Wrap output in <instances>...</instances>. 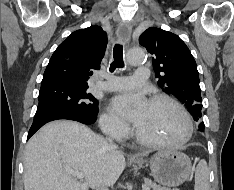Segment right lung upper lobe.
Here are the masks:
<instances>
[{"label":"right lung upper lobe","instance_id":"right-lung-upper-lobe-1","mask_svg":"<svg viewBox=\"0 0 234 190\" xmlns=\"http://www.w3.org/2000/svg\"><path fill=\"white\" fill-rule=\"evenodd\" d=\"M106 46L107 34L100 26L73 32L53 53L41 84L62 82L88 86L92 70L100 68Z\"/></svg>","mask_w":234,"mask_h":190}]
</instances>
